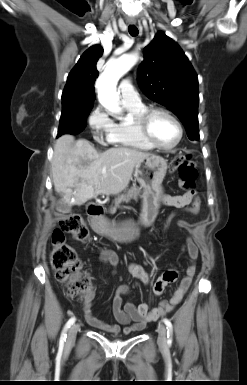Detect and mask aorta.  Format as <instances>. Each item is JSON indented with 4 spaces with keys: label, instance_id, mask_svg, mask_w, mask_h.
Masks as SVG:
<instances>
[{
    "label": "aorta",
    "instance_id": "762f6f07",
    "mask_svg": "<svg viewBox=\"0 0 247 385\" xmlns=\"http://www.w3.org/2000/svg\"><path fill=\"white\" fill-rule=\"evenodd\" d=\"M137 54H129L118 59L109 60L105 70L96 81L98 100L101 105L113 114H120L119 92L117 84L119 79L125 75L138 61Z\"/></svg>",
    "mask_w": 247,
    "mask_h": 385
}]
</instances>
